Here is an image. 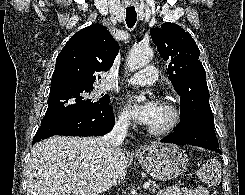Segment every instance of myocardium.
Here are the masks:
<instances>
[{
	"instance_id": "f54148a6",
	"label": "myocardium",
	"mask_w": 245,
	"mask_h": 195,
	"mask_svg": "<svg viewBox=\"0 0 245 195\" xmlns=\"http://www.w3.org/2000/svg\"><path fill=\"white\" fill-rule=\"evenodd\" d=\"M160 105L168 110L170 113V118L167 123L160 127H148L147 132L152 136H164L173 132L182 121V113L179 106L169 100H161Z\"/></svg>"
}]
</instances>
